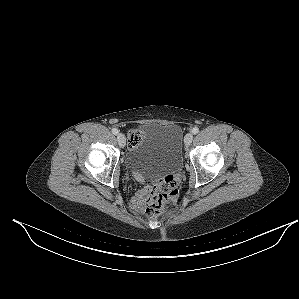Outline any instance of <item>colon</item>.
I'll use <instances>...</instances> for the list:
<instances>
[{
  "label": "colon",
  "mask_w": 299,
  "mask_h": 299,
  "mask_svg": "<svg viewBox=\"0 0 299 299\" xmlns=\"http://www.w3.org/2000/svg\"><path fill=\"white\" fill-rule=\"evenodd\" d=\"M140 140V133L131 130L128 133V143L130 147H134ZM180 180L176 175H167L151 190L150 200L147 204V214L151 217L160 215L165 209L171 206L177 197Z\"/></svg>",
  "instance_id": "5ec220e1"
}]
</instances>
